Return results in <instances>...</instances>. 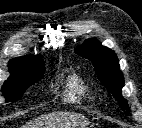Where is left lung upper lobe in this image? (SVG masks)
Segmentation results:
<instances>
[{"label":"left lung upper lobe","mask_w":142,"mask_h":128,"mask_svg":"<svg viewBox=\"0 0 142 128\" xmlns=\"http://www.w3.org/2000/svg\"><path fill=\"white\" fill-rule=\"evenodd\" d=\"M75 52L93 63L99 80L119 101L121 108L126 110L128 103L121 95L124 79L114 51L102 46L96 39H89L81 47L77 48Z\"/></svg>","instance_id":"5c2ea615"}]
</instances>
